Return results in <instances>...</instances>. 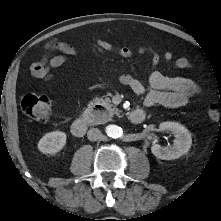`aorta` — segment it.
<instances>
[{"mask_svg": "<svg viewBox=\"0 0 221 221\" xmlns=\"http://www.w3.org/2000/svg\"><path fill=\"white\" fill-rule=\"evenodd\" d=\"M106 133L109 137L118 138L121 136L122 130L116 125H109L106 127Z\"/></svg>", "mask_w": 221, "mask_h": 221, "instance_id": "obj_1", "label": "aorta"}]
</instances>
